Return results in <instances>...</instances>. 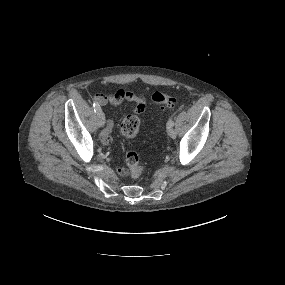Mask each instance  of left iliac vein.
I'll return each mask as SVG.
<instances>
[{"instance_id":"4c4485c4","label":"left iliac vein","mask_w":285,"mask_h":285,"mask_svg":"<svg viewBox=\"0 0 285 285\" xmlns=\"http://www.w3.org/2000/svg\"><path fill=\"white\" fill-rule=\"evenodd\" d=\"M167 133L171 138L176 137V130L173 128V126L167 127Z\"/></svg>"}]
</instances>
